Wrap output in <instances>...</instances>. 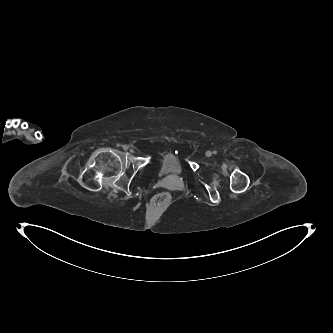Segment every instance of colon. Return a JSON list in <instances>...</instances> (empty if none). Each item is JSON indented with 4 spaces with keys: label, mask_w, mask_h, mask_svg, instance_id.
<instances>
[{
    "label": "colon",
    "mask_w": 333,
    "mask_h": 333,
    "mask_svg": "<svg viewBox=\"0 0 333 333\" xmlns=\"http://www.w3.org/2000/svg\"><path fill=\"white\" fill-rule=\"evenodd\" d=\"M172 202V196L169 192L163 191L157 193L151 200V206L156 210L167 209Z\"/></svg>",
    "instance_id": "5ec220e1"
}]
</instances>
